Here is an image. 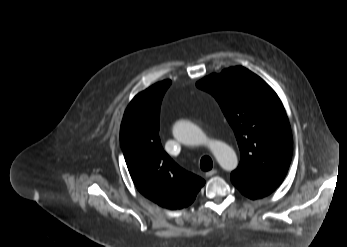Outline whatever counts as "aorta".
I'll list each match as a JSON object with an SVG mask.
<instances>
[{"label": "aorta", "instance_id": "1", "mask_svg": "<svg viewBox=\"0 0 347 247\" xmlns=\"http://www.w3.org/2000/svg\"><path fill=\"white\" fill-rule=\"evenodd\" d=\"M173 136L185 145L208 144L219 165L226 171H232L238 166L235 151L221 141L208 142L204 132L190 121L180 120L173 126Z\"/></svg>", "mask_w": 347, "mask_h": 247}]
</instances>
